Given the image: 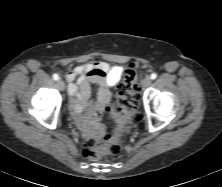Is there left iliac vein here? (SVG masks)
<instances>
[{
    "instance_id": "4c4485c4",
    "label": "left iliac vein",
    "mask_w": 222,
    "mask_h": 187,
    "mask_svg": "<svg viewBox=\"0 0 222 187\" xmlns=\"http://www.w3.org/2000/svg\"><path fill=\"white\" fill-rule=\"evenodd\" d=\"M151 85V78L150 77H145L142 81V86L144 88H147Z\"/></svg>"
}]
</instances>
